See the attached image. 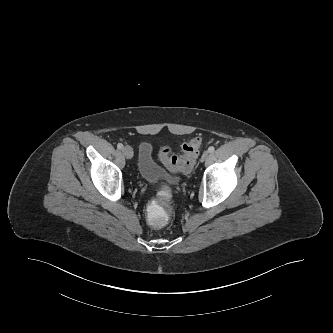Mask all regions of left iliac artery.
<instances>
[{"label":"left iliac artery","mask_w":333,"mask_h":333,"mask_svg":"<svg viewBox=\"0 0 333 333\" xmlns=\"http://www.w3.org/2000/svg\"><path fill=\"white\" fill-rule=\"evenodd\" d=\"M215 151V148L213 146H210L208 148V152L213 153Z\"/></svg>","instance_id":"obj_1"}]
</instances>
